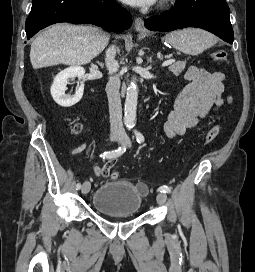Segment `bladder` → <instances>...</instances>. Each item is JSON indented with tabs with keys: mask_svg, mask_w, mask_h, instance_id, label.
I'll list each match as a JSON object with an SVG mask.
<instances>
[{
	"mask_svg": "<svg viewBox=\"0 0 255 272\" xmlns=\"http://www.w3.org/2000/svg\"><path fill=\"white\" fill-rule=\"evenodd\" d=\"M92 205L105 216H135L142 206V194L130 181H108L96 189Z\"/></svg>",
	"mask_w": 255,
	"mask_h": 272,
	"instance_id": "1",
	"label": "bladder"
}]
</instances>
